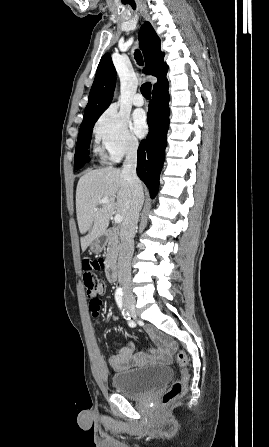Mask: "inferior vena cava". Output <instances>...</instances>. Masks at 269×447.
<instances>
[{
  "mask_svg": "<svg viewBox=\"0 0 269 447\" xmlns=\"http://www.w3.org/2000/svg\"><path fill=\"white\" fill-rule=\"evenodd\" d=\"M138 142L135 140L132 146L126 150V158L123 164L124 174L131 190L132 200L130 210L125 216L121 229V245L118 257V281L122 285L124 295H131V257L134 251V235L138 224L139 214L144 204L142 184L136 176Z\"/></svg>",
  "mask_w": 269,
  "mask_h": 447,
  "instance_id": "obj_1",
  "label": "inferior vena cava"
}]
</instances>
